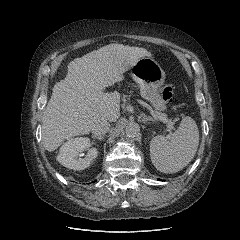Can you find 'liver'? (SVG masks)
Listing matches in <instances>:
<instances>
[{
	"label": "liver",
	"instance_id": "6515ba94",
	"mask_svg": "<svg viewBox=\"0 0 240 240\" xmlns=\"http://www.w3.org/2000/svg\"><path fill=\"white\" fill-rule=\"evenodd\" d=\"M151 56L144 48L109 44L68 64L64 80L53 87L42 116V141L56 150L64 140L88 134L100 121L115 122L120 116L118 92L103 89L121 82L139 58Z\"/></svg>",
	"mask_w": 240,
	"mask_h": 240
}]
</instances>
